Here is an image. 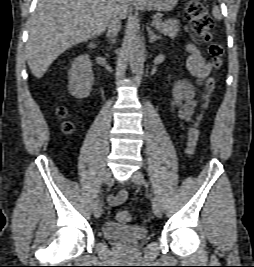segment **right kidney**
<instances>
[{"label": "right kidney", "mask_w": 254, "mask_h": 267, "mask_svg": "<svg viewBox=\"0 0 254 267\" xmlns=\"http://www.w3.org/2000/svg\"><path fill=\"white\" fill-rule=\"evenodd\" d=\"M68 76L70 94L78 99L87 98L94 83L92 65L88 55H81L74 59Z\"/></svg>", "instance_id": "right-kidney-1"}]
</instances>
